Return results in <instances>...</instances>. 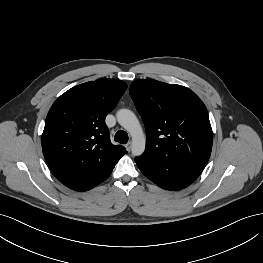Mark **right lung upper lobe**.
Returning a JSON list of instances; mask_svg holds the SVG:
<instances>
[{
    "label": "right lung upper lobe",
    "mask_w": 263,
    "mask_h": 263,
    "mask_svg": "<svg viewBox=\"0 0 263 263\" xmlns=\"http://www.w3.org/2000/svg\"><path fill=\"white\" fill-rule=\"evenodd\" d=\"M126 89L120 80L90 81L66 91L50 108L42 150L55 176L68 188L76 190L98 179L127 153L110 142L105 124Z\"/></svg>",
    "instance_id": "1"
}]
</instances>
